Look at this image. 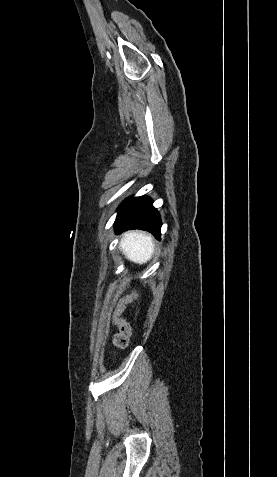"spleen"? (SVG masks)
I'll return each instance as SVG.
<instances>
[{"label": "spleen", "instance_id": "1", "mask_svg": "<svg viewBox=\"0 0 277 477\" xmlns=\"http://www.w3.org/2000/svg\"><path fill=\"white\" fill-rule=\"evenodd\" d=\"M154 247L152 237L141 232H130L124 235L119 244L126 258L140 265L151 259Z\"/></svg>", "mask_w": 277, "mask_h": 477}]
</instances>
